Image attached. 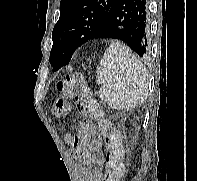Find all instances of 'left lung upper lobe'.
<instances>
[{"label": "left lung upper lobe", "instance_id": "obj_1", "mask_svg": "<svg viewBox=\"0 0 197 181\" xmlns=\"http://www.w3.org/2000/svg\"><path fill=\"white\" fill-rule=\"evenodd\" d=\"M115 0H61L60 17L52 32L50 63L54 71L65 66L74 51L96 32Z\"/></svg>", "mask_w": 197, "mask_h": 181}]
</instances>
